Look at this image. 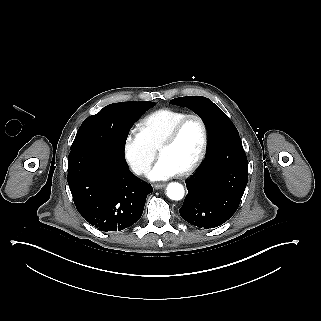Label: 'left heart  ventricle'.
Instances as JSON below:
<instances>
[{"mask_svg": "<svg viewBox=\"0 0 321 321\" xmlns=\"http://www.w3.org/2000/svg\"><path fill=\"white\" fill-rule=\"evenodd\" d=\"M202 143V129L198 120L187 121L170 143H160V156L170 157L183 171L197 156Z\"/></svg>", "mask_w": 321, "mask_h": 321, "instance_id": "obj_1", "label": "left heart ventricle"}]
</instances>
